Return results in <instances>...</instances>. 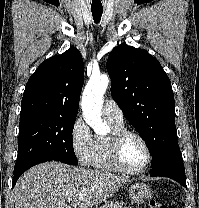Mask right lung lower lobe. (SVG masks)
<instances>
[{"mask_svg": "<svg viewBox=\"0 0 199 208\" xmlns=\"http://www.w3.org/2000/svg\"><path fill=\"white\" fill-rule=\"evenodd\" d=\"M42 162H46V161H41V162H36V163H33L23 169H20V170H17L14 172V178H13V183H12V187L16 184V181L18 180V178L29 168H31L32 166L36 165V164H39V163H42Z\"/></svg>", "mask_w": 199, "mask_h": 208, "instance_id": "obj_1", "label": "right lung lower lobe"}]
</instances>
